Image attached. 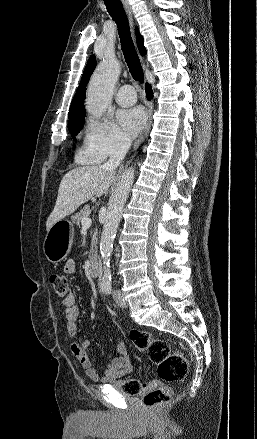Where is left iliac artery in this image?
Returning <instances> with one entry per match:
<instances>
[{"instance_id": "obj_1", "label": "left iliac artery", "mask_w": 257, "mask_h": 439, "mask_svg": "<svg viewBox=\"0 0 257 439\" xmlns=\"http://www.w3.org/2000/svg\"><path fill=\"white\" fill-rule=\"evenodd\" d=\"M101 289H102V291H103L104 293H106V294H110V293H111V290H112L111 283H110V282H104V283H102V285H101Z\"/></svg>"}]
</instances>
